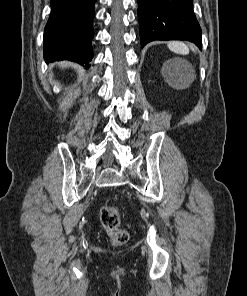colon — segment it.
Wrapping results in <instances>:
<instances>
[{"label":"colon","instance_id":"5ec220e1","mask_svg":"<svg viewBox=\"0 0 247 296\" xmlns=\"http://www.w3.org/2000/svg\"><path fill=\"white\" fill-rule=\"evenodd\" d=\"M100 221L115 245L121 246L127 242L128 232L121 228L120 215L115 207L103 206L100 210Z\"/></svg>","mask_w":247,"mask_h":296}]
</instances>
